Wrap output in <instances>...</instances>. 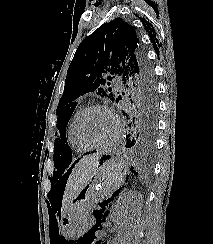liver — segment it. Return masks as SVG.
Returning <instances> with one entry per match:
<instances>
[{
    "label": "liver",
    "instance_id": "liver-1",
    "mask_svg": "<svg viewBox=\"0 0 213 244\" xmlns=\"http://www.w3.org/2000/svg\"><path fill=\"white\" fill-rule=\"evenodd\" d=\"M104 152L84 156L72 169L63 195L62 216L79 192L89 183Z\"/></svg>",
    "mask_w": 213,
    "mask_h": 244
}]
</instances>
